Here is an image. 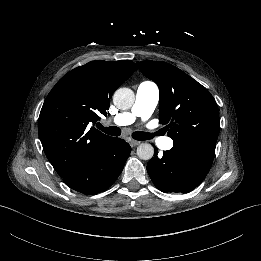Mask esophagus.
I'll use <instances>...</instances> for the list:
<instances>
[{"label":"esophagus","mask_w":261,"mask_h":261,"mask_svg":"<svg viewBox=\"0 0 261 261\" xmlns=\"http://www.w3.org/2000/svg\"><path fill=\"white\" fill-rule=\"evenodd\" d=\"M129 143H130V146L136 147V146H138L141 142H140V141H136V140H131Z\"/></svg>","instance_id":"esophagus-1"}]
</instances>
